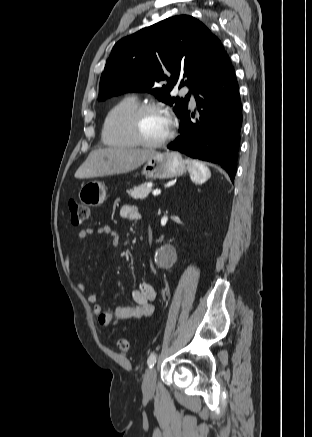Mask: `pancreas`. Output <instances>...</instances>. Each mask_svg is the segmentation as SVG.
I'll use <instances>...</instances> for the list:
<instances>
[{
    "label": "pancreas",
    "mask_w": 312,
    "mask_h": 437,
    "mask_svg": "<svg viewBox=\"0 0 312 437\" xmlns=\"http://www.w3.org/2000/svg\"><path fill=\"white\" fill-rule=\"evenodd\" d=\"M128 194L134 199H145L151 192V187L146 183L141 184L140 186L134 187L133 189L127 191Z\"/></svg>",
    "instance_id": "1"
}]
</instances>
